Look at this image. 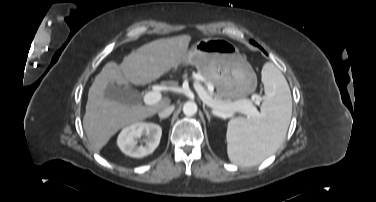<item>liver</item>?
I'll list each match as a JSON object with an SVG mask.
<instances>
[{"label":"liver","mask_w":376,"mask_h":202,"mask_svg":"<svg viewBox=\"0 0 376 202\" xmlns=\"http://www.w3.org/2000/svg\"><path fill=\"white\" fill-rule=\"evenodd\" d=\"M191 41L189 35L154 40L125 56L121 65L108 62L89 88L83 127L96 152L122 127L139 122L169 106V97L158 103L128 106L104 97L108 84L130 87L159 79L183 62Z\"/></svg>","instance_id":"6515ba94"}]
</instances>
